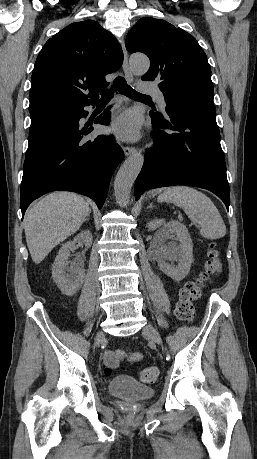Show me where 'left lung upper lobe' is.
Returning <instances> with one entry per match:
<instances>
[{
	"instance_id": "left-lung-upper-lobe-1",
	"label": "left lung upper lobe",
	"mask_w": 257,
	"mask_h": 459,
	"mask_svg": "<svg viewBox=\"0 0 257 459\" xmlns=\"http://www.w3.org/2000/svg\"><path fill=\"white\" fill-rule=\"evenodd\" d=\"M130 53L143 52L150 69L143 80L158 81L166 106L213 99L211 69L196 39L162 19L141 18L126 37Z\"/></svg>"
}]
</instances>
